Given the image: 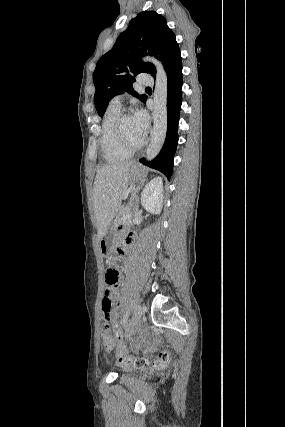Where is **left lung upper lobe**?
I'll return each instance as SVG.
<instances>
[{
	"mask_svg": "<svg viewBox=\"0 0 285 427\" xmlns=\"http://www.w3.org/2000/svg\"><path fill=\"white\" fill-rule=\"evenodd\" d=\"M179 53L175 34L167 26L166 19L155 11L140 12L119 35L113 48L97 62L93 82L99 115H104L114 96L125 91L146 102L147 96L136 93L132 83L138 73L155 76L156 70L153 64L141 62V57L154 55L166 70Z\"/></svg>",
	"mask_w": 285,
	"mask_h": 427,
	"instance_id": "left-lung-upper-lobe-1",
	"label": "left lung upper lobe"
}]
</instances>
